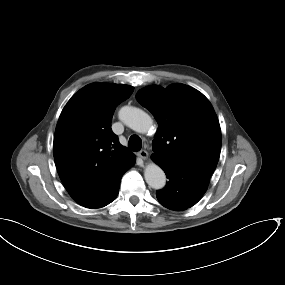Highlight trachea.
Listing matches in <instances>:
<instances>
[{"label": "trachea", "mask_w": 285, "mask_h": 285, "mask_svg": "<svg viewBox=\"0 0 285 285\" xmlns=\"http://www.w3.org/2000/svg\"><path fill=\"white\" fill-rule=\"evenodd\" d=\"M128 147L131 151H139L142 147V140L137 135H132L129 138Z\"/></svg>", "instance_id": "obj_1"}]
</instances>
